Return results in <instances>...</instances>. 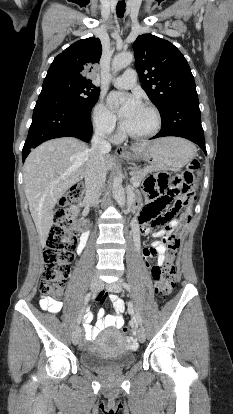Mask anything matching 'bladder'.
<instances>
[{
  "label": "bladder",
  "mask_w": 233,
  "mask_h": 414,
  "mask_svg": "<svg viewBox=\"0 0 233 414\" xmlns=\"http://www.w3.org/2000/svg\"><path fill=\"white\" fill-rule=\"evenodd\" d=\"M134 361L135 355L128 350L126 337L119 330L100 334L94 347L80 355L81 364L93 370L122 369Z\"/></svg>",
  "instance_id": "bladder-1"
}]
</instances>
